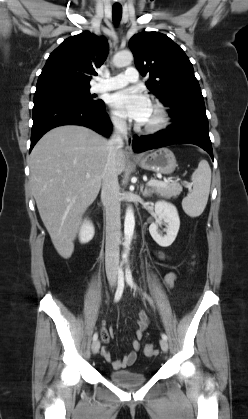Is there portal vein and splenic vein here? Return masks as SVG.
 Here are the masks:
<instances>
[{"label":"portal vein and splenic vein","instance_id":"1","mask_svg":"<svg viewBox=\"0 0 248 419\" xmlns=\"http://www.w3.org/2000/svg\"><path fill=\"white\" fill-rule=\"evenodd\" d=\"M173 182L171 178L159 181V180H150L147 182V186H166L168 183ZM187 188H191V185H186Z\"/></svg>","mask_w":248,"mask_h":419}]
</instances>
